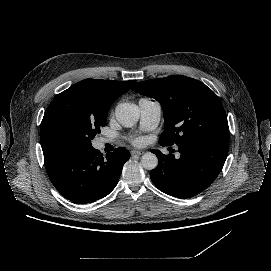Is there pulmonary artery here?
<instances>
[{"instance_id": "obj_1", "label": "pulmonary artery", "mask_w": 271, "mask_h": 271, "mask_svg": "<svg viewBox=\"0 0 271 271\" xmlns=\"http://www.w3.org/2000/svg\"><path fill=\"white\" fill-rule=\"evenodd\" d=\"M139 108L141 115V126L143 128L154 127L160 119V104L157 101L149 98H141L139 100ZM114 141L107 138H99L94 142L95 149H102L106 143H113Z\"/></svg>"}]
</instances>
